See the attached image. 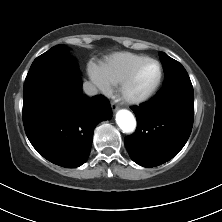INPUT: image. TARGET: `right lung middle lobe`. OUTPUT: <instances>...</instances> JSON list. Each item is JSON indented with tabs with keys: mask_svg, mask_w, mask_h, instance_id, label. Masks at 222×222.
I'll list each match as a JSON object with an SVG mask.
<instances>
[{
	"mask_svg": "<svg viewBox=\"0 0 222 222\" xmlns=\"http://www.w3.org/2000/svg\"><path fill=\"white\" fill-rule=\"evenodd\" d=\"M78 65L58 45L37 57L32 63L23 87V100L38 94L71 95L77 85Z\"/></svg>",
	"mask_w": 222,
	"mask_h": 222,
	"instance_id": "right-lung-middle-lobe-1",
	"label": "right lung middle lobe"
}]
</instances>
